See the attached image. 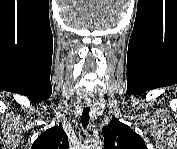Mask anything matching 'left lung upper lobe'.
I'll use <instances>...</instances> for the list:
<instances>
[{"mask_svg": "<svg viewBox=\"0 0 177 149\" xmlns=\"http://www.w3.org/2000/svg\"><path fill=\"white\" fill-rule=\"evenodd\" d=\"M102 133L105 149H147L141 136L115 118Z\"/></svg>", "mask_w": 177, "mask_h": 149, "instance_id": "1", "label": "left lung upper lobe"}]
</instances>
